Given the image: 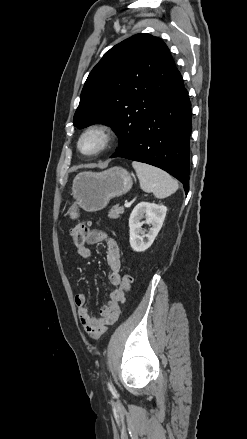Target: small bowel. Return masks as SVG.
I'll return each mask as SVG.
<instances>
[{"label":"small bowel","instance_id":"small-bowel-1","mask_svg":"<svg viewBox=\"0 0 247 439\" xmlns=\"http://www.w3.org/2000/svg\"><path fill=\"white\" fill-rule=\"evenodd\" d=\"M101 242L106 243V261L109 268V281L114 286H119L121 277V255L118 243L99 229H90L85 236V244L77 249L78 255L83 259H89L92 252L88 246ZM124 291L114 289L109 294L108 303L101 309L98 316L91 315L87 307V300L84 294L79 293L74 301L77 307L78 316L85 332L93 339H100L109 325L116 322L120 314V303L124 299Z\"/></svg>","mask_w":247,"mask_h":439}]
</instances>
